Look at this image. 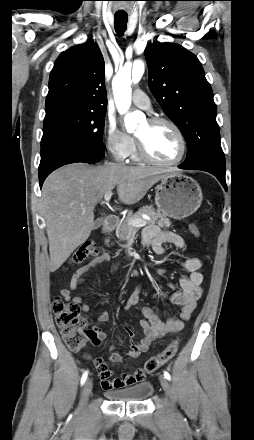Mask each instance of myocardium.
<instances>
[{"label":"myocardium","instance_id":"obj_1","mask_svg":"<svg viewBox=\"0 0 254 440\" xmlns=\"http://www.w3.org/2000/svg\"><path fill=\"white\" fill-rule=\"evenodd\" d=\"M148 122L151 125L166 124V125L170 126L175 131V133L177 134V136L180 140V145H181L180 154L175 160L170 161V162H163V161L157 160L148 152L144 141L136 136L137 152H138L140 159L144 160L145 162H147L149 164L160 166V167H171V166H175V165H178L179 163H181L187 153V141H186L185 135L182 132V130L180 129V127L174 121H172L168 118H165V117H151L148 119Z\"/></svg>","mask_w":254,"mask_h":440}]
</instances>
